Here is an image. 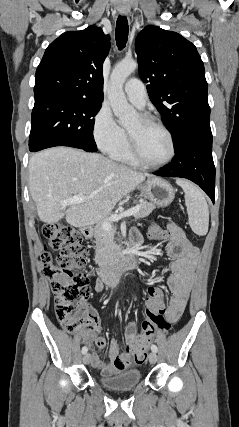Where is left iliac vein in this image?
<instances>
[{"label":"left iliac vein","mask_w":239,"mask_h":427,"mask_svg":"<svg viewBox=\"0 0 239 427\" xmlns=\"http://www.w3.org/2000/svg\"><path fill=\"white\" fill-rule=\"evenodd\" d=\"M149 361H150V363L151 364H154V363H156L157 362V354H156V352H151L150 354H149Z\"/></svg>","instance_id":"4c4485c4"}]
</instances>
